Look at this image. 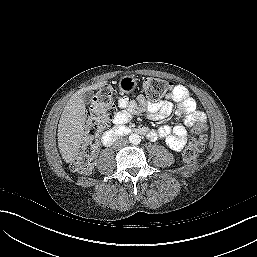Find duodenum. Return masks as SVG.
I'll list each match as a JSON object with an SVG mask.
<instances>
[{"label":"duodenum","instance_id":"410a0bca","mask_svg":"<svg viewBox=\"0 0 257 257\" xmlns=\"http://www.w3.org/2000/svg\"><path fill=\"white\" fill-rule=\"evenodd\" d=\"M149 133V129L146 127L129 128L124 125H115L104 134L103 143L109 146L116 139L127 134L148 135Z\"/></svg>","mask_w":257,"mask_h":257}]
</instances>
